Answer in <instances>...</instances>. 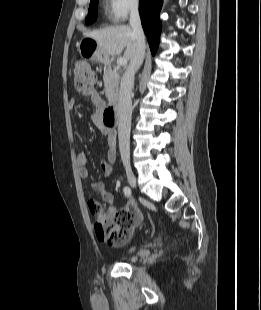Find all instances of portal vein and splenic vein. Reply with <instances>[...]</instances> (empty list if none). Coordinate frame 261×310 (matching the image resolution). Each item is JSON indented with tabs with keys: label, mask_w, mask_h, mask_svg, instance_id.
Here are the masks:
<instances>
[{
	"label": "portal vein and splenic vein",
	"mask_w": 261,
	"mask_h": 310,
	"mask_svg": "<svg viewBox=\"0 0 261 310\" xmlns=\"http://www.w3.org/2000/svg\"><path fill=\"white\" fill-rule=\"evenodd\" d=\"M127 63H128V61L124 57H120V58L117 59V64L119 66H126Z\"/></svg>",
	"instance_id": "18ae733b"
}]
</instances>
